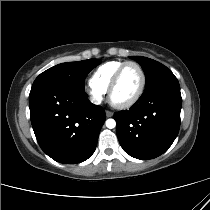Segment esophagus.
Wrapping results in <instances>:
<instances>
[{"label": "esophagus", "mask_w": 210, "mask_h": 210, "mask_svg": "<svg viewBox=\"0 0 210 210\" xmlns=\"http://www.w3.org/2000/svg\"><path fill=\"white\" fill-rule=\"evenodd\" d=\"M105 114H106L107 117H112L113 116V113L111 111H108V110L105 111Z\"/></svg>", "instance_id": "obj_1"}]
</instances>
